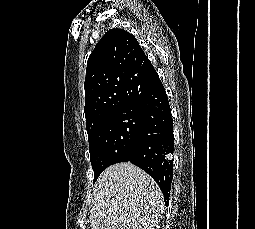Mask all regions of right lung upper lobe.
Wrapping results in <instances>:
<instances>
[{
  "instance_id": "right-lung-upper-lobe-1",
  "label": "right lung upper lobe",
  "mask_w": 255,
  "mask_h": 229,
  "mask_svg": "<svg viewBox=\"0 0 255 229\" xmlns=\"http://www.w3.org/2000/svg\"><path fill=\"white\" fill-rule=\"evenodd\" d=\"M156 73L132 34L110 29L87 62L84 112L88 137L134 102Z\"/></svg>"
}]
</instances>
